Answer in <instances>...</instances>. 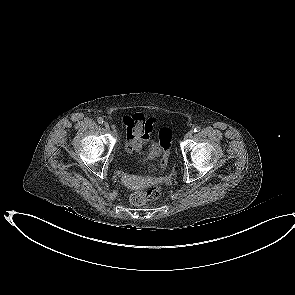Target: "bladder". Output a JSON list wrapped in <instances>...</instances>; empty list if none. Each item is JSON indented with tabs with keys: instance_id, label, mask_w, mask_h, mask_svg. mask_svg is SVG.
Listing matches in <instances>:
<instances>
[{
	"instance_id": "obj_1",
	"label": "bladder",
	"mask_w": 295,
	"mask_h": 295,
	"mask_svg": "<svg viewBox=\"0 0 295 295\" xmlns=\"http://www.w3.org/2000/svg\"><path fill=\"white\" fill-rule=\"evenodd\" d=\"M161 152V147L158 143H152L147 151L143 154V159L146 161L153 160Z\"/></svg>"
}]
</instances>
